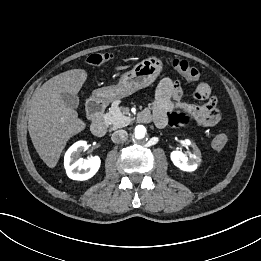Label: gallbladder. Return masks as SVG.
<instances>
[{
	"instance_id": "obj_1",
	"label": "gallbladder",
	"mask_w": 261,
	"mask_h": 261,
	"mask_svg": "<svg viewBox=\"0 0 261 261\" xmlns=\"http://www.w3.org/2000/svg\"><path fill=\"white\" fill-rule=\"evenodd\" d=\"M61 97L66 106L74 108V109L78 108L79 98L77 95L70 94V93H62Z\"/></svg>"
}]
</instances>
